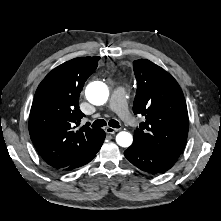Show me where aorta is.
I'll return each mask as SVG.
<instances>
[{
  "label": "aorta",
  "instance_id": "obj_1",
  "mask_svg": "<svg viewBox=\"0 0 221 221\" xmlns=\"http://www.w3.org/2000/svg\"><path fill=\"white\" fill-rule=\"evenodd\" d=\"M86 98L93 105H103L109 97V90L106 84L100 81L90 83L86 87ZM116 142L121 147H129L133 142V137L129 132H119L116 136Z\"/></svg>",
  "mask_w": 221,
  "mask_h": 221
}]
</instances>
